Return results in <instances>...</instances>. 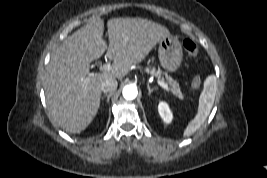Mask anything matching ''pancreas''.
I'll return each mask as SVG.
<instances>
[{"label": "pancreas", "instance_id": "cf45deb5", "mask_svg": "<svg viewBox=\"0 0 267 178\" xmlns=\"http://www.w3.org/2000/svg\"><path fill=\"white\" fill-rule=\"evenodd\" d=\"M150 73L156 75L159 80L169 85L170 92L174 94L176 97H178L179 99L184 98L177 81L173 80L166 72H163L161 69L155 70V68H152L150 69Z\"/></svg>", "mask_w": 267, "mask_h": 178}]
</instances>
